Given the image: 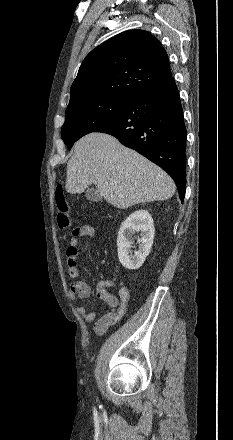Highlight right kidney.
I'll list each match as a JSON object with an SVG mask.
<instances>
[{
	"label": "right kidney",
	"instance_id": "right-kidney-1",
	"mask_svg": "<svg viewBox=\"0 0 233 440\" xmlns=\"http://www.w3.org/2000/svg\"><path fill=\"white\" fill-rule=\"evenodd\" d=\"M154 231L153 219L147 210L135 211L124 220L117 236L118 258L123 267L135 270L142 266L151 251ZM135 232L141 236L137 240L139 250L129 255Z\"/></svg>",
	"mask_w": 233,
	"mask_h": 440
}]
</instances>
